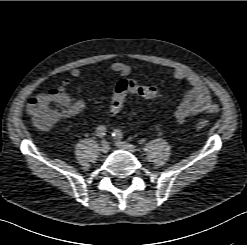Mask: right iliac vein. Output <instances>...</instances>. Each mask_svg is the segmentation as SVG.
Masks as SVG:
<instances>
[{"label": "right iliac vein", "mask_w": 247, "mask_h": 245, "mask_svg": "<svg viewBox=\"0 0 247 245\" xmlns=\"http://www.w3.org/2000/svg\"><path fill=\"white\" fill-rule=\"evenodd\" d=\"M109 149H110L109 143L106 140L102 141L100 145V151L102 153H107Z\"/></svg>", "instance_id": "right-iliac-vein-1"}]
</instances>
